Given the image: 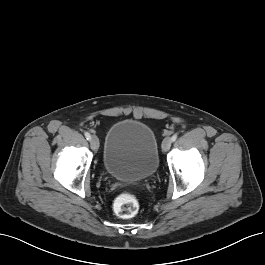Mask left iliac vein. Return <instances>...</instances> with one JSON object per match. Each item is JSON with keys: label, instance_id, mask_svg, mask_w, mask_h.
<instances>
[{"label": "left iliac vein", "instance_id": "obj_1", "mask_svg": "<svg viewBox=\"0 0 265 265\" xmlns=\"http://www.w3.org/2000/svg\"><path fill=\"white\" fill-rule=\"evenodd\" d=\"M172 140L170 137H166L162 142V151L167 152L171 147Z\"/></svg>", "mask_w": 265, "mask_h": 265}]
</instances>
